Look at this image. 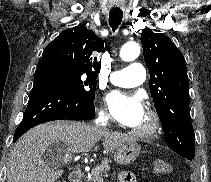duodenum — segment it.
Instances as JSON below:
<instances>
[{"mask_svg": "<svg viewBox=\"0 0 211 182\" xmlns=\"http://www.w3.org/2000/svg\"><path fill=\"white\" fill-rule=\"evenodd\" d=\"M83 172L81 170H74L70 173L69 181L70 182H82Z\"/></svg>", "mask_w": 211, "mask_h": 182, "instance_id": "410a0bca", "label": "duodenum"}]
</instances>
